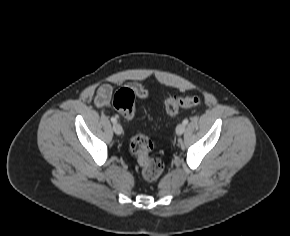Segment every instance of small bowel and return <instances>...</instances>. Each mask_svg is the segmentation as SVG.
Returning <instances> with one entry per match:
<instances>
[{"instance_id":"obj_1","label":"small bowel","mask_w":290,"mask_h":236,"mask_svg":"<svg viewBox=\"0 0 290 236\" xmlns=\"http://www.w3.org/2000/svg\"><path fill=\"white\" fill-rule=\"evenodd\" d=\"M132 87L136 90L137 95L141 98H145L147 96V91L144 87L139 84H133ZM113 93V87L110 84L101 85L96 93L95 103L99 108L106 107L111 99Z\"/></svg>"}]
</instances>
